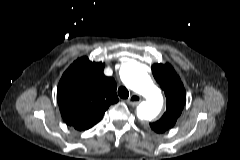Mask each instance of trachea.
I'll use <instances>...</instances> for the list:
<instances>
[{"instance_id": "1", "label": "trachea", "mask_w": 240, "mask_h": 160, "mask_svg": "<svg viewBox=\"0 0 240 160\" xmlns=\"http://www.w3.org/2000/svg\"><path fill=\"white\" fill-rule=\"evenodd\" d=\"M118 95L120 96V98L122 99H127L129 97V91L127 90L126 87L121 86L118 89Z\"/></svg>"}]
</instances>
